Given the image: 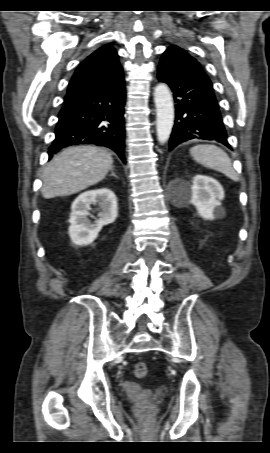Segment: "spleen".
Wrapping results in <instances>:
<instances>
[{"label": "spleen", "mask_w": 270, "mask_h": 453, "mask_svg": "<svg viewBox=\"0 0 270 453\" xmlns=\"http://www.w3.org/2000/svg\"><path fill=\"white\" fill-rule=\"evenodd\" d=\"M190 155L204 167L219 171L233 181H238L228 154L220 147L213 144H200L190 149Z\"/></svg>", "instance_id": "obj_1"}]
</instances>
